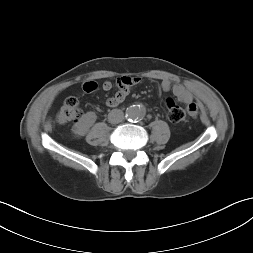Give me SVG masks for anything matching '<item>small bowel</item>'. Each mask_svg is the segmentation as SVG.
<instances>
[{
    "label": "small bowel",
    "mask_w": 253,
    "mask_h": 253,
    "mask_svg": "<svg viewBox=\"0 0 253 253\" xmlns=\"http://www.w3.org/2000/svg\"><path fill=\"white\" fill-rule=\"evenodd\" d=\"M141 81L140 77L137 76H122L118 78V91L111 97L107 98L106 105L109 107H116L121 104L128 96L130 89L139 84ZM98 85L94 81H87L83 84V89L87 93L96 91ZM103 90L109 91L112 88V83L106 81L102 85ZM161 88L165 92L171 91L173 95L182 103L186 104L183 113L187 118H194L198 114L199 106L195 102L193 93L183 86L182 84L172 82L168 79H164L161 82Z\"/></svg>",
    "instance_id": "obj_1"
}]
</instances>
